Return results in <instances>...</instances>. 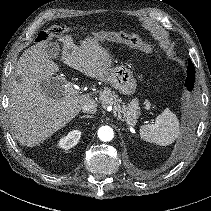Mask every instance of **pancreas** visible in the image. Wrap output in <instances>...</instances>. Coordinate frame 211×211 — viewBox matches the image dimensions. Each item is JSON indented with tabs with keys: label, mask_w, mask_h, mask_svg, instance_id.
Listing matches in <instances>:
<instances>
[{
	"label": "pancreas",
	"mask_w": 211,
	"mask_h": 211,
	"mask_svg": "<svg viewBox=\"0 0 211 211\" xmlns=\"http://www.w3.org/2000/svg\"><path fill=\"white\" fill-rule=\"evenodd\" d=\"M100 99L105 107H113V115L119 120L126 121L130 125L136 124V119L139 114V103L137 99H133L128 105H125L110 88H105L100 93Z\"/></svg>",
	"instance_id": "cf45deb5"
}]
</instances>
